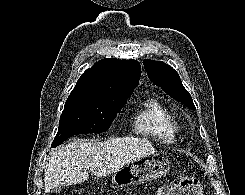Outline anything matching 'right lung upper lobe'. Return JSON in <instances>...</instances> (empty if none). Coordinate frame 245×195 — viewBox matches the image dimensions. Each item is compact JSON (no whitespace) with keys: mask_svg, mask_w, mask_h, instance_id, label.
<instances>
[{"mask_svg":"<svg viewBox=\"0 0 245 195\" xmlns=\"http://www.w3.org/2000/svg\"><path fill=\"white\" fill-rule=\"evenodd\" d=\"M140 75V63L136 60L102 59L84 72L70 96L126 100L139 84Z\"/></svg>","mask_w":245,"mask_h":195,"instance_id":"cb5924a9","label":"right lung upper lobe"}]
</instances>
